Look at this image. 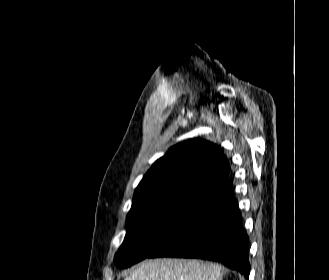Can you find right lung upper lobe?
I'll use <instances>...</instances> for the list:
<instances>
[{
	"mask_svg": "<svg viewBox=\"0 0 329 280\" xmlns=\"http://www.w3.org/2000/svg\"><path fill=\"white\" fill-rule=\"evenodd\" d=\"M223 150L202 139H189L157 160L135 190L129 213L160 199L191 196L207 200L228 182Z\"/></svg>",
	"mask_w": 329,
	"mask_h": 280,
	"instance_id": "cb5924a9",
	"label": "right lung upper lobe"
}]
</instances>
